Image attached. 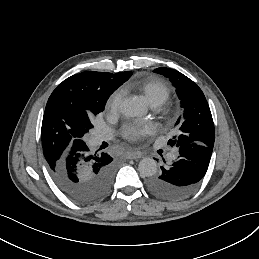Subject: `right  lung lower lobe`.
<instances>
[{"label":"right lung lower lobe","mask_w":259,"mask_h":259,"mask_svg":"<svg viewBox=\"0 0 259 259\" xmlns=\"http://www.w3.org/2000/svg\"><path fill=\"white\" fill-rule=\"evenodd\" d=\"M107 153H92L86 143L71 148L49 173L58 188L71 200L90 204L102 199L110 190L115 165Z\"/></svg>","instance_id":"1"}]
</instances>
